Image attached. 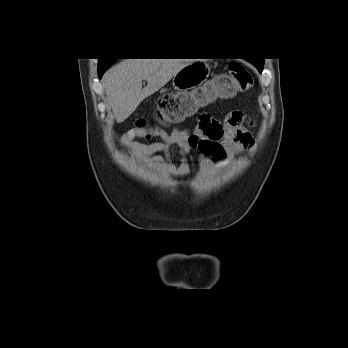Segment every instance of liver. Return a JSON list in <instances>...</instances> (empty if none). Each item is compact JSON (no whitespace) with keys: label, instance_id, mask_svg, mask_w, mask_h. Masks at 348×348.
Wrapping results in <instances>:
<instances>
[{"label":"liver","instance_id":"obj_1","mask_svg":"<svg viewBox=\"0 0 348 348\" xmlns=\"http://www.w3.org/2000/svg\"><path fill=\"white\" fill-rule=\"evenodd\" d=\"M190 63L184 59H124L110 68L102 80L115 120H126L146 97ZM142 80L147 81L144 88Z\"/></svg>","mask_w":348,"mask_h":348}]
</instances>
